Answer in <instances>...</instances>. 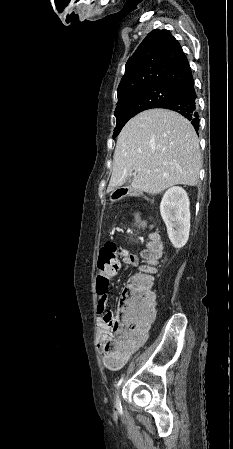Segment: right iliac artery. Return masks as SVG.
<instances>
[{
  "mask_svg": "<svg viewBox=\"0 0 233 449\" xmlns=\"http://www.w3.org/2000/svg\"><path fill=\"white\" fill-rule=\"evenodd\" d=\"M122 381H123V378H121V379L118 381V383H117V388L121 385Z\"/></svg>",
  "mask_w": 233,
  "mask_h": 449,
  "instance_id": "right-iliac-artery-1",
  "label": "right iliac artery"
}]
</instances>
